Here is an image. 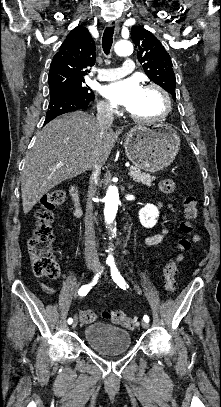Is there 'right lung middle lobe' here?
<instances>
[{
  "label": "right lung middle lobe",
  "instance_id": "right-lung-middle-lobe-1",
  "mask_svg": "<svg viewBox=\"0 0 221 407\" xmlns=\"http://www.w3.org/2000/svg\"><path fill=\"white\" fill-rule=\"evenodd\" d=\"M84 82L67 85L61 88L50 90V99H56L64 96H76L83 98H94V93L89 87L83 85Z\"/></svg>",
  "mask_w": 221,
  "mask_h": 407
}]
</instances>
